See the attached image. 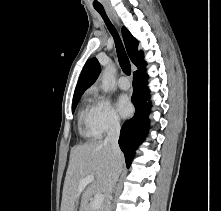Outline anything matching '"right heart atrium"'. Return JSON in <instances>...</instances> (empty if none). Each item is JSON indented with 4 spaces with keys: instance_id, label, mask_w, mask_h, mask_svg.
Wrapping results in <instances>:
<instances>
[{
    "instance_id": "1",
    "label": "right heart atrium",
    "mask_w": 221,
    "mask_h": 211,
    "mask_svg": "<svg viewBox=\"0 0 221 211\" xmlns=\"http://www.w3.org/2000/svg\"><path fill=\"white\" fill-rule=\"evenodd\" d=\"M92 125L99 136L120 128V119L110 101L102 96H95L91 105Z\"/></svg>"
}]
</instances>
